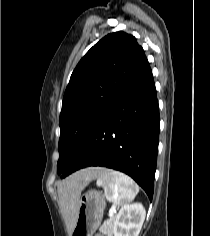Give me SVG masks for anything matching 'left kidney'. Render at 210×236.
Returning <instances> with one entry per match:
<instances>
[{"mask_svg": "<svg viewBox=\"0 0 210 236\" xmlns=\"http://www.w3.org/2000/svg\"><path fill=\"white\" fill-rule=\"evenodd\" d=\"M146 211L140 203L124 205L115 217L114 236H138Z\"/></svg>", "mask_w": 210, "mask_h": 236, "instance_id": "obj_1", "label": "left kidney"}]
</instances>
